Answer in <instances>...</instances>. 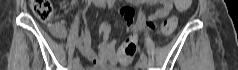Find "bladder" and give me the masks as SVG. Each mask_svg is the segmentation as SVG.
<instances>
[{"label": "bladder", "mask_w": 238, "mask_h": 70, "mask_svg": "<svg viewBox=\"0 0 238 70\" xmlns=\"http://www.w3.org/2000/svg\"><path fill=\"white\" fill-rule=\"evenodd\" d=\"M90 70H93V69H90ZM105 70H125V69H122V68H118V67H109Z\"/></svg>", "instance_id": "bladder-1"}]
</instances>
